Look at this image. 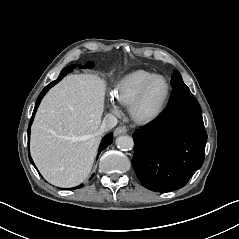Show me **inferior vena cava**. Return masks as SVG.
<instances>
[{"instance_id": "602c4592", "label": "inferior vena cava", "mask_w": 239, "mask_h": 239, "mask_svg": "<svg viewBox=\"0 0 239 239\" xmlns=\"http://www.w3.org/2000/svg\"><path fill=\"white\" fill-rule=\"evenodd\" d=\"M117 123L118 121L114 115L106 114L102 122L101 131L112 129L117 125Z\"/></svg>"}]
</instances>
